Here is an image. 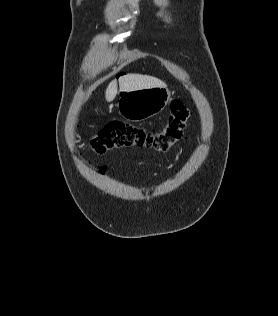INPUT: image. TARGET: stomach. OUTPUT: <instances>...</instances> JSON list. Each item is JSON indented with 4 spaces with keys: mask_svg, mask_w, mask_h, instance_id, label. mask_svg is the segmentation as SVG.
<instances>
[{
    "mask_svg": "<svg viewBox=\"0 0 278 316\" xmlns=\"http://www.w3.org/2000/svg\"><path fill=\"white\" fill-rule=\"evenodd\" d=\"M166 87H153L121 93L118 111L125 119L141 121L160 113L170 99Z\"/></svg>",
    "mask_w": 278,
    "mask_h": 316,
    "instance_id": "obj_1",
    "label": "stomach"
}]
</instances>
